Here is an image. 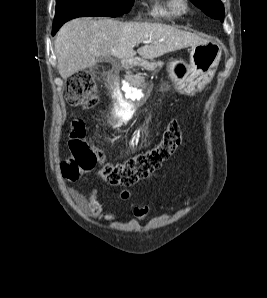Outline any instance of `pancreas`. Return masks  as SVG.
I'll list each match as a JSON object with an SVG mask.
<instances>
[{
	"instance_id": "cf45deb5",
	"label": "pancreas",
	"mask_w": 267,
	"mask_h": 298,
	"mask_svg": "<svg viewBox=\"0 0 267 298\" xmlns=\"http://www.w3.org/2000/svg\"><path fill=\"white\" fill-rule=\"evenodd\" d=\"M163 63L162 62H151V63H147L144 66L145 70L151 71V70H155L157 67H162ZM131 78H141L139 75L137 76H132Z\"/></svg>"
}]
</instances>
